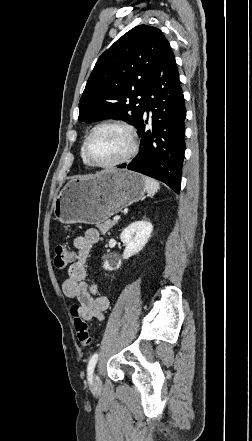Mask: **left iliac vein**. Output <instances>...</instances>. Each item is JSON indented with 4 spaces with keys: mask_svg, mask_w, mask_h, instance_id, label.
Here are the masks:
<instances>
[{
    "mask_svg": "<svg viewBox=\"0 0 252 441\" xmlns=\"http://www.w3.org/2000/svg\"><path fill=\"white\" fill-rule=\"evenodd\" d=\"M93 386H99L101 384L100 378L98 376V374H94L93 376V381H92Z\"/></svg>",
    "mask_w": 252,
    "mask_h": 441,
    "instance_id": "1",
    "label": "left iliac vein"
}]
</instances>
